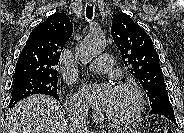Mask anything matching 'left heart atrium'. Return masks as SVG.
<instances>
[{"mask_svg": "<svg viewBox=\"0 0 184 133\" xmlns=\"http://www.w3.org/2000/svg\"><path fill=\"white\" fill-rule=\"evenodd\" d=\"M114 91L115 88L110 84L85 85L82 88V95L95 109L104 111L108 107Z\"/></svg>", "mask_w": 184, "mask_h": 133, "instance_id": "obj_1", "label": "left heart atrium"}]
</instances>
